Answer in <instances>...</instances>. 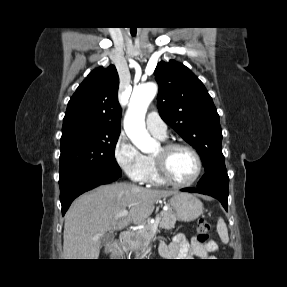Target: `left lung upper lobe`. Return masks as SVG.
<instances>
[{
    "instance_id": "1",
    "label": "left lung upper lobe",
    "mask_w": 287,
    "mask_h": 287,
    "mask_svg": "<svg viewBox=\"0 0 287 287\" xmlns=\"http://www.w3.org/2000/svg\"><path fill=\"white\" fill-rule=\"evenodd\" d=\"M154 74L161 118L201 157L205 174L197 187L228 193L219 115L205 86L189 68L174 60L158 63Z\"/></svg>"
}]
</instances>
